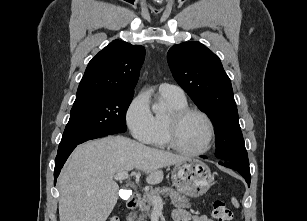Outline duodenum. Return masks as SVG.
<instances>
[{"instance_id": "obj_1", "label": "duodenum", "mask_w": 307, "mask_h": 221, "mask_svg": "<svg viewBox=\"0 0 307 221\" xmlns=\"http://www.w3.org/2000/svg\"><path fill=\"white\" fill-rule=\"evenodd\" d=\"M139 201H140L139 196H137V195L132 196L131 198H129L127 200V208L130 209V210L136 209Z\"/></svg>"}]
</instances>
